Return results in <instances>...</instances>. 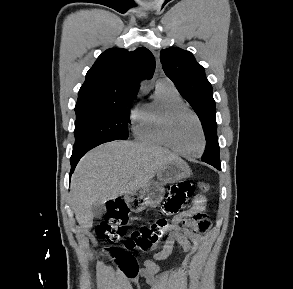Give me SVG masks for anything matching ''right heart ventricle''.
<instances>
[{"mask_svg": "<svg viewBox=\"0 0 293 289\" xmlns=\"http://www.w3.org/2000/svg\"><path fill=\"white\" fill-rule=\"evenodd\" d=\"M184 104L172 84L156 85L153 101L138 107L133 113V134L148 144L169 147L163 134V121L167 110Z\"/></svg>", "mask_w": 293, "mask_h": 289, "instance_id": "e07e8e85", "label": "right heart ventricle"}]
</instances>
